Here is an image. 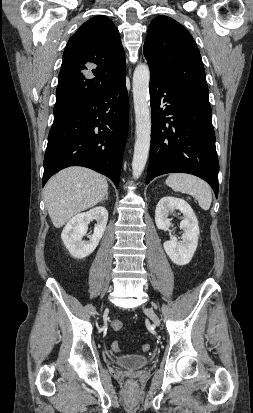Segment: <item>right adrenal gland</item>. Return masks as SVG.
I'll list each match as a JSON object with an SVG mask.
<instances>
[{"label": "right adrenal gland", "mask_w": 253, "mask_h": 413, "mask_svg": "<svg viewBox=\"0 0 253 413\" xmlns=\"http://www.w3.org/2000/svg\"><path fill=\"white\" fill-rule=\"evenodd\" d=\"M105 200H108V193L106 194V197L101 201V203L104 202Z\"/></svg>", "instance_id": "1"}]
</instances>
